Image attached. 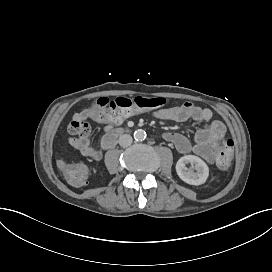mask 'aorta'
Listing matches in <instances>:
<instances>
[{
	"instance_id": "1",
	"label": "aorta",
	"mask_w": 272,
	"mask_h": 272,
	"mask_svg": "<svg viewBox=\"0 0 272 272\" xmlns=\"http://www.w3.org/2000/svg\"><path fill=\"white\" fill-rule=\"evenodd\" d=\"M147 134L144 130L138 129L134 132V139L137 141H142L146 138Z\"/></svg>"
}]
</instances>
